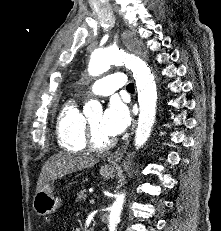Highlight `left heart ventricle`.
Returning a JSON list of instances; mask_svg holds the SVG:
<instances>
[{
    "mask_svg": "<svg viewBox=\"0 0 221 231\" xmlns=\"http://www.w3.org/2000/svg\"><path fill=\"white\" fill-rule=\"evenodd\" d=\"M101 118H102V113L97 112V113H94V114L90 115L88 117V120H89L91 128L93 130L95 140L99 144H104V143L109 142L110 140H112L113 137L105 134L101 130V127H100Z\"/></svg>",
    "mask_w": 221,
    "mask_h": 231,
    "instance_id": "1",
    "label": "left heart ventricle"
}]
</instances>
